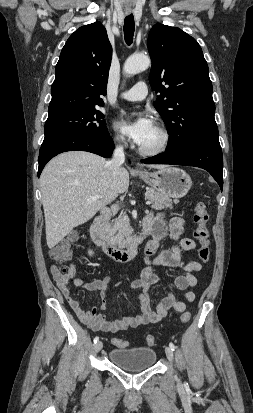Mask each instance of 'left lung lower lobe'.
<instances>
[{
	"label": "left lung lower lobe",
	"instance_id": "left-lung-lower-lobe-1",
	"mask_svg": "<svg viewBox=\"0 0 253 413\" xmlns=\"http://www.w3.org/2000/svg\"><path fill=\"white\" fill-rule=\"evenodd\" d=\"M145 164H176L196 166L207 170L223 187V157L220 143L195 142L176 150L142 159Z\"/></svg>",
	"mask_w": 253,
	"mask_h": 413
}]
</instances>
